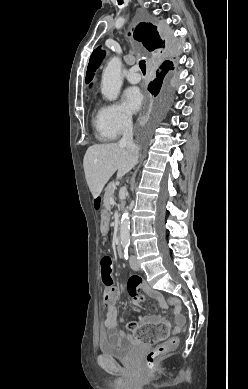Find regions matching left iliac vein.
<instances>
[{"instance_id": "1", "label": "left iliac vein", "mask_w": 248, "mask_h": 389, "mask_svg": "<svg viewBox=\"0 0 248 389\" xmlns=\"http://www.w3.org/2000/svg\"><path fill=\"white\" fill-rule=\"evenodd\" d=\"M130 267L134 271H138L139 270V264H138L137 259H136L135 256H131L130 257Z\"/></svg>"}]
</instances>
